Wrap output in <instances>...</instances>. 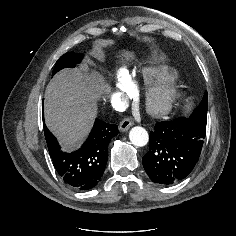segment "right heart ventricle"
I'll return each mask as SVG.
<instances>
[{
	"mask_svg": "<svg viewBox=\"0 0 236 236\" xmlns=\"http://www.w3.org/2000/svg\"><path fill=\"white\" fill-rule=\"evenodd\" d=\"M129 80L134 90H136L141 83L150 84L167 79H174L176 71L165 66H144L139 71L129 72L127 70Z\"/></svg>",
	"mask_w": 236,
	"mask_h": 236,
	"instance_id": "right-heart-ventricle-1",
	"label": "right heart ventricle"
}]
</instances>
